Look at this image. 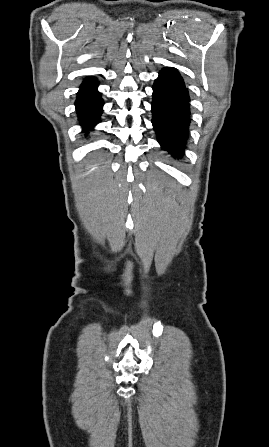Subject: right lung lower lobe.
I'll return each instance as SVG.
<instances>
[{
	"mask_svg": "<svg viewBox=\"0 0 269 447\" xmlns=\"http://www.w3.org/2000/svg\"><path fill=\"white\" fill-rule=\"evenodd\" d=\"M97 86L95 78H87L77 93L75 105L84 132L91 130L100 121L103 100L101 94L96 91Z\"/></svg>",
	"mask_w": 269,
	"mask_h": 447,
	"instance_id": "1",
	"label": "right lung lower lobe"
}]
</instances>
